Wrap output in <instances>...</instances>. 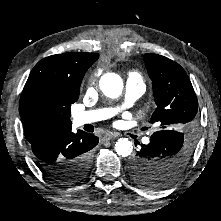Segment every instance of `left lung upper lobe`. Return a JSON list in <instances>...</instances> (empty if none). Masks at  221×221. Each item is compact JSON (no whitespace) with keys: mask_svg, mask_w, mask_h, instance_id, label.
Returning <instances> with one entry per match:
<instances>
[{"mask_svg":"<svg viewBox=\"0 0 221 221\" xmlns=\"http://www.w3.org/2000/svg\"><path fill=\"white\" fill-rule=\"evenodd\" d=\"M144 61L153 84L157 105L151 123L171 130L175 137L164 141L148 159V170L135 182L147 188H161L177 179L194 150L198 129V100L185 70L174 61L147 53ZM159 172L157 177L153 173Z\"/></svg>","mask_w":221,"mask_h":221,"instance_id":"obj_1","label":"left lung upper lobe"}]
</instances>
